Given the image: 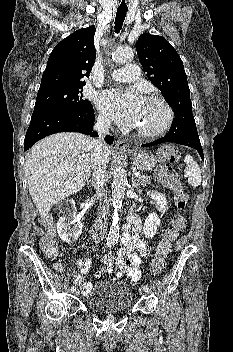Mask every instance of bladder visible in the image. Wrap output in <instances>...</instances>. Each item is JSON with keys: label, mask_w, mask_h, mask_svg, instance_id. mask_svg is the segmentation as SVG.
I'll list each match as a JSON object with an SVG mask.
<instances>
[{"label": "bladder", "mask_w": 233, "mask_h": 352, "mask_svg": "<svg viewBox=\"0 0 233 352\" xmlns=\"http://www.w3.org/2000/svg\"><path fill=\"white\" fill-rule=\"evenodd\" d=\"M85 304L95 312L121 313L132 307L133 293L120 282H99L86 294Z\"/></svg>", "instance_id": "1"}]
</instances>
